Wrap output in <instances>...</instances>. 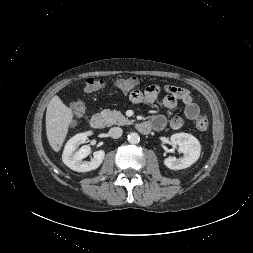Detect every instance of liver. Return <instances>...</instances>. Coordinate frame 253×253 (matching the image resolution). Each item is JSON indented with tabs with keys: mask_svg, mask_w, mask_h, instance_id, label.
I'll return each instance as SVG.
<instances>
[{
	"mask_svg": "<svg viewBox=\"0 0 253 253\" xmlns=\"http://www.w3.org/2000/svg\"><path fill=\"white\" fill-rule=\"evenodd\" d=\"M73 120V112L59 96L55 95L47 105L46 135L51 148L60 151Z\"/></svg>",
	"mask_w": 253,
	"mask_h": 253,
	"instance_id": "6515ba94",
	"label": "liver"
}]
</instances>
